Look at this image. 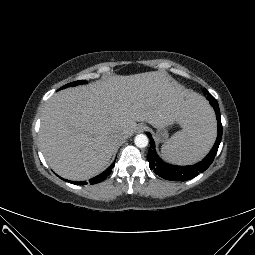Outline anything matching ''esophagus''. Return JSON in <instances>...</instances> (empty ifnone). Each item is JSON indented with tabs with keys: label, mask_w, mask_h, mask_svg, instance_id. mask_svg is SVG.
<instances>
[{
	"label": "esophagus",
	"mask_w": 255,
	"mask_h": 255,
	"mask_svg": "<svg viewBox=\"0 0 255 255\" xmlns=\"http://www.w3.org/2000/svg\"><path fill=\"white\" fill-rule=\"evenodd\" d=\"M144 130H145V126L142 124L137 127L138 132H143Z\"/></svg>",
	"instance_id": "1"
}]
</instances>
